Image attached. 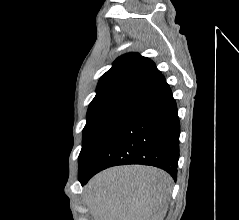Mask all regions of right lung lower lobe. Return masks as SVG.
Listing matches in <instances>:
<instances>
[{"mask_svg": "<svg viewBox=\"0 0 239 220\" xmlns=\"http://www.w3.org/2000/svg\"><path fill=\"white\" fill-rule=\"evenodd\" d=\"M180 124L169 85L155 87L130 108L101 155L81 184L99 171L115 165L144 164L177 178Z\"/></svg>", "mask_w": 239, "mask_h": 220, "instance_id": "right-lung-lower-lobe-1", "label": "right lung lower lobe"}]
</instances>
